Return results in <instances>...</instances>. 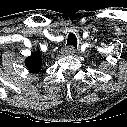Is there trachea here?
Instances as JSON below:
<instances>
[{
    "label": "trachea",
    "instance_id": "obj_1",
    "mask_svg": "<svg viewBox=\"0 0 127 127\" xmlns=\"http://www.w3.org/2000/svg\"><path fill=\"white\" fill-rule=\"evenodd\" d=\"M67 45L68 46H73V47H77V38L75 36V34L70 33L67 37Z\"/></svg>",
    "mask_w": 127,
    "mask_h": 127
}]
</instances>
